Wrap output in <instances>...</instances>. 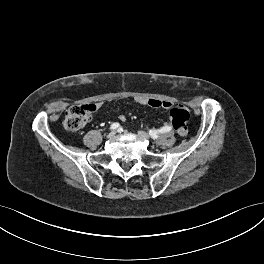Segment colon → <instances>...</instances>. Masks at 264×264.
Masks as SVG:
<instances>
[{
	"instance_id": "obj_1",
	"label": "colon",
	"mask_w": 264,
	"mask_h": 264,
	"mask_svg": "<svg viewBox=\"0 0 264 264\" xmlns=\"http://www.w3.org/2000/svg\"><path fill=\"white\" fill-rule=\"evenodd\" d=\"M96 110L93 104L74 105L65 114L63 125L67 130L77 131L84 127ZM189 112L183 106H177L170 110L168 119L174 130L181 136L187 134Z\"/></svg>"
}]
</instances>
